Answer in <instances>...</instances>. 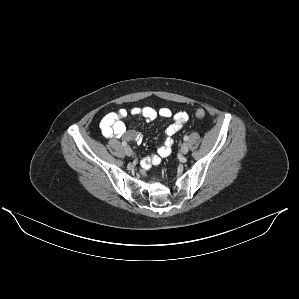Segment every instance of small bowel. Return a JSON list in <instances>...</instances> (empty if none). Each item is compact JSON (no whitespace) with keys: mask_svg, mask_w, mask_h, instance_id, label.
<instances>
[{"mask_svg":"<svg viewBox=\"0 0 299 299\" xmlns=\"http://www.w3.org/2000/svg\"><path fill=\"white\" fill-rule=\"evenodd\" d=\"M128 115L140 116L147 120H154L158 116L171 118L172 122L165 129V139L161 146L157 148L155 154L147 156L141 162V171L144 173L152 166L159 165L164 158L172 154L174 136L183 128L187 121L185 112L175 114L168 108H161L158 111L151 107H134L130 110L121 108L116 112H110L103 117L100 127L104 136L108 138L122 139L130 143H139L142 141V135L136 130H127L122 118Z\"/></svg>","mask_w":299,"mask_h":299,"instance_id":"1","label":"small bowel"}]
</instances>
